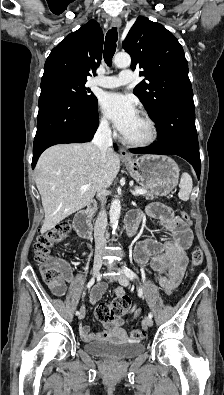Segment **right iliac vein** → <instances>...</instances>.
Listing matches in <instances>:
<instances>
[{
    "mask_svg": "<svg viewBox=\"0 0 224 395\" xmlns=\"http://www.w3.org/2000/svg\"><path fill=\"white\" fill-rule=\"evenodd\" d=\"M101 266H102V257L100 255H96L93 263V275H97ZM84 317H85V309L82 308L79 314V319H83Z\"/></svg>",
    "mask_w": 224,
    "mask_h": 395,
    "instance_id": "right-iliac-vein-1",
    "label": "right iliac vein"
}]
</instances>
